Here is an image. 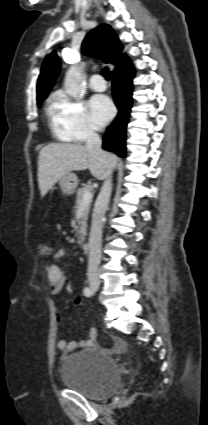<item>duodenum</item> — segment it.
<instances>
[{
  "mask_svg": "<svg viewBox=\"0 0 208 425\" xmlns=\"http://www.w3.org/2000/svg\"><path fill=\"white\" fill-rule=\"evenodd\" d=\"M81 247H82L84 253L89 252V245L86 242H83Z\"/></svg>",
  "mask_w": 208,
  "mask_h": 425,
  "instance_id": "1",
  "label": "duodenum"
}]
</instances>
